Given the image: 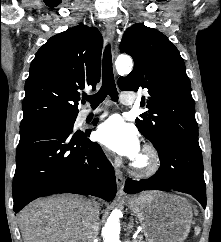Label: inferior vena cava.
I'll list each match as a JSON object with an SVG mask.
<instances>
[{
    "label": "inferior vena cava",
    "instance_id": "obj_1",
    "mask_svg": "<svg viewBox=\"0 0 221 242\" xmlns=\"http://www.w3.org/2000/svg\"><path fill=\"white\" fill-rule=\"evenodd\" d=\"M82 242H94L99 231V207L95 201L88 200L82 211Z\"/></svg>",
    "mask_w": 221,
    "mask_h": 242
}]
</instances>
